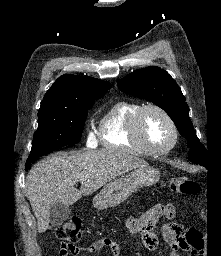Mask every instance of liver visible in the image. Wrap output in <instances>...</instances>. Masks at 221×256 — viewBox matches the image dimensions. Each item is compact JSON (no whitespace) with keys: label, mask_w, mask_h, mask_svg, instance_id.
<instances>
[{"label":"liver","mask_w":221,"mask_h":256,"mask_svg":"<svg viewBox=\"0 0 221 256\" xmlns=\"http://www.w3.org/2000/svg\"><path fill=\"white\" fill-rule=\"evenodd\" d=\"M146 165L145 160L115 149L62 152L40 161L26 178L38 232L48 229L50 209L55 203L72 205L82 195H90L123 173ZM78 181L80 190L74 187Z\"/></svg>","instance_id":"obj_1"}]
</instances>
